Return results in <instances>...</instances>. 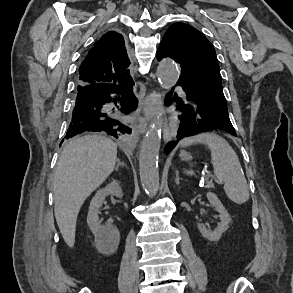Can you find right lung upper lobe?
Instances as JSON below:
<instances>
[{
    "mask_svg": "<svg viewBox=\"0 0 293 293\" xmlns=\"http://www.w3.org/2000/svg\"><path fill=\"white\" fill-rule=\"evenodd\" d=\"M129 64L123 36L109 31L95 43L82 62L79 84L125 83L132 79L127 70Z\"/></svg>",
    "mask_w": 293,
    "mask_h": 293,
    "instance_id": "obj_1",
    "label": "right lung upper lobe"
}]
</instances>
